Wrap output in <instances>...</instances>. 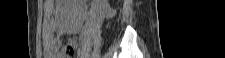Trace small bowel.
<instances>
[{
  "mask_svg": "<svg viewBox=\"0 0 225 58\" xmlns=\"http://www.w3.org/2000/svg\"><path fill=\"white\" fill-rule=\"evenodd\" d=\"M53 7V3L48 2L44 8L43 48L45 54L50 58L63 57L60 54L62 41L59 36L68 30L64 26L58 25L56 20L51 16Z\"/></svg>",
  "mask_w": 225,
  "mask_h": 58,
  "instance_id": "obj_1",
  "label": "small bowel"
}]
</instances>
